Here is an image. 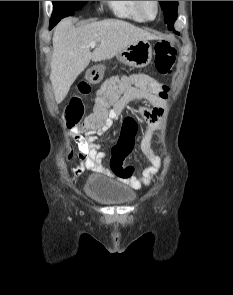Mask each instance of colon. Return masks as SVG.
Listing matches in <instances>:
<instances>
[{
    "label": "colon",
    "mask_w": 233,
    "mask_h": 295,
    "mask_svg": "<svg viewBox=\"0 0 233 295\" xmlns=\"http://www.w3.org/2000/svg\"><path fill=\"white\" fill-rule=\"evenodd\" d=\"M176 49L168 40H159L154 46V64L161 74H170L175 62ZM81 95L90 93V86L81 82L78 85ZM152 93L162 98H167L169 88L146 74H135L130 76L115 77L106 81L98 92L92 113L83 123L86 131L100 127L108 115L109 107L124 95H135L138 93ZM85 113V107L80 97H73L65 108V118L69 124L80 122ZM137 125L132 118H126L119 143L113 149L110 169L113 174L121 178H130L133 167L123 165L124 158L133 147Z\"/></svg>",
    "instance_id": "obj_1"
}]
</instances>
